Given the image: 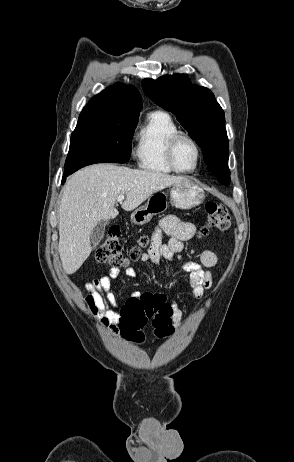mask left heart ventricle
Wrapping results in <instances>:
<instances>
[{"mask_svg": "<svg viewBox=\"0 0 294 462\" xmlns=\"http://www.w3.org/2000/svg\"><path fill=\"white\" fill-rule=\"evenodd\" d=\"M177 165L184 170L192 169L196 163V150L187 140H181L175 150Z\"/></svg>", "mask_w": 294, "mask_h": 462, "instance_id": "left-heart-ventricle-1", "label": "left heart ventricle"}]
</instances>
